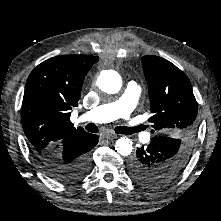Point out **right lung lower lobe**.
Segmentation results:
<instances>
[{
    "mask_svg": "<svg viewBox=\"0 0 221 221\" xmlns=\"http://www.w3.org/2000/svg\"><path fill=\"white\" fill-rule=\"evenodd\" d=\"M98 136L88 133L79 139L55 144L40 154H34L42 169L59 182L70 183L83 178L90 168V150Z\"/></svg>",
    "mask_w": 221,
    "mask_h": 221,
    "instance_id": "1",
    "label": "right lung lower lobe"
}]
</instances>
